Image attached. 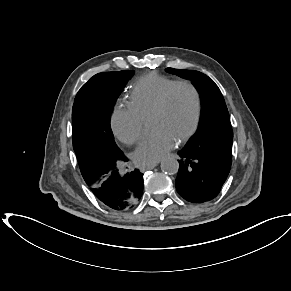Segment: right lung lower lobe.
Here are the masks:
<instances>
[{
  "label": "right lung lower lobe",
  "mask_w": 291,
  "mask_h": 291,
  "mask_svg": "<svg viewBox=\"0 0 291 291\" xmlns=\"http://www.w3.org/2000/svg\"><path fill=\"white\" fill-rule=\"evenodd\" d=\"M127 162L123 156L117 161L98 164L91 168H80L83 178L87 177L95 183L90 190L96 198L108 208L124 211L135 206L143 194V174L135 169L122 173L119 162Z\"/></svg>",
  "instance_id": "98d812e1"
}]
</instances>
